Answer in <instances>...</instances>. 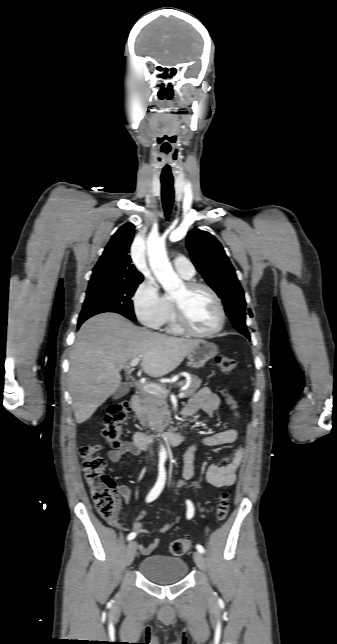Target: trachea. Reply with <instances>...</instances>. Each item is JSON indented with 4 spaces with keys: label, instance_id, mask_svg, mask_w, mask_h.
Listing matches in <instances>:
<instances>
[{
    "label": "trachea",
    "instance_id": "3493384b",
    "mask_svg": "<svg viewBox=\"0 0 337 644\" xmlns=\"http://www.w3.org/2000/svg\"><path fill=\"white\" fill-rule=\"evenodd\" d=\"M174 182L172 180H161V197L163 208L167 219L169 218L174 202Z\"/></svg>",
    "mask_w": 337,
    "mask_h": 644
}]
</instances>
